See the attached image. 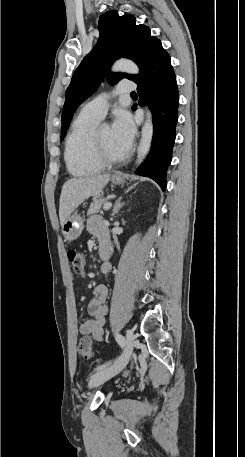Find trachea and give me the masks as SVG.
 Here are the masks:
<instances>
[{"label":"trachea","mask_w":245,"mask_h":457,"mask_svg":"<svg viewBox=\"0 0 245 457\" xmlns=\"http://www.w3.org/2000/svg\"><path fill=\"white\" fill-rule=\"evenodd\" d=\"M131 95H136V92H131Z\"/></svg>","instance_id":"1"}]
</instances>
